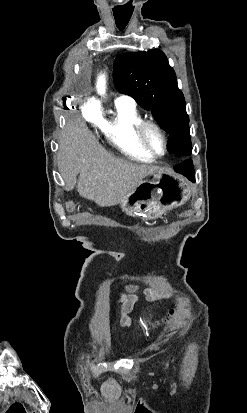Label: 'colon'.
I'll return each instance as SVG.
<instances>
[{
	"instance_id": "5ec220e1",
	"label": "colon",
	"mask_w": 247,
	"mask_h": 413,
	"mask_svg": "<svg viewBox=\"0 0 247 413\" xmlns=\"http://www.w3.org/2000/svg\"><path fill=\"white\" fill-rule=\"evenodd\" d=\"M67 207H68L69 210L72 211V210L75 209V204L74 203H68ZM175 313H176V310L174 308H172L168 311V313L164 316V318L158 319V320H155V321H146L143 324V327H144L143 331L154 330V329H156L160 326L168 324L171 321V319L173 318V316L175 315Z\"/></svg>"
}]
</instances>
